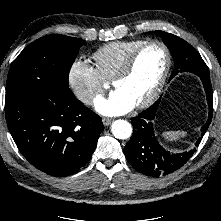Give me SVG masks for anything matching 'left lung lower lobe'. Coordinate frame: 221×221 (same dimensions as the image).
<instances>
[{
	"instance_id": "obj_1",
	"label": "left lung lower lobe",
	"mask_w": 221,
	"mask_h": 221,
	"mask_svg": "<svg viewBox=\"0 0 221 221\" xmlns=\"http://www.w3.org/2000/svg\"><path fill=\"white\" fill-rule=\"evenodd\" d=\"M200 77V76H199ZM207 95L209 117L207 123L201 128L202 136L208 129L213 113V92L210 78L200 77ZM161 98L151 107L131 119L133 134L124 147V154L128 162L138 172L158 177L169 174L182 167L193 155L195 149L190 152L173 154L166 151L156 140L153 128V120ZM201 136V138H202ZM201 138L197 141L199 145Z\"/></svg>"
}]
</instances>
